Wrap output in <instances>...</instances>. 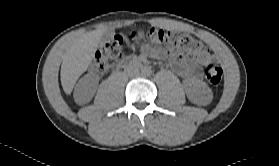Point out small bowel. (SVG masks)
<instances>
[{
	"mask_svg": "<svg viewBox=\"0 0 279 166\" xmlns=\"http://www.w3.org/2000/svg\"><path fill=\"white\" fill-rule=\"evenodd\" d=\"M153 55L161 56V53H156L152 51ZM213 59L212 55L204 50L195 58H183L179 62H175L173 65L174 70L182 77H192L195 76L198 72V68L211 61Z\"/></svg>",
	"mask_w": 279,
	"mask_h": 166,
	"instance_id": "small-bowel-1",
	"label": "small bowel"
}]
</instances>
